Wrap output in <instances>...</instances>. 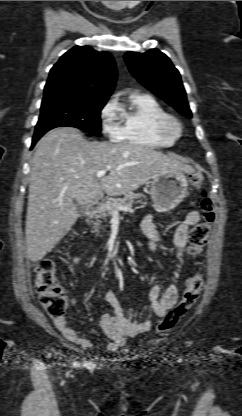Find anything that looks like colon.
I'll return each mask as SVG.
<instances>
[{
    "mask_svg": "<svg viewBox=\"0 0 242 416\" xmlns=\"http://www.w3.org/2000/svg\"><path fill=\"white\" fill-rule=\"evenodd\" d=\"M190 182L194 187L199 188L203 185V178L195 174L190 177ZM201 211L203 213V220L195 224L189 234V252L193 256L201 253L206 244L210 228L215 220L212 202L205 195L201 201ZM202 286V276L199 272H195L188 279L186 288L178 304L165 313L159 321L157 326L158 332H164L174 328L186 316L195 304L202 290ZM36 293L40 304L49 316L53 318H61L64 316L68 301L64 290L57 281L56 263L52 257L42 258L38 263L36 271Z\"/></svg>",
    "mask_w": 242,
    "mask_h": 416,
    "instance_id": "obj_1",
    "label": "colon"
}]
</instances>
